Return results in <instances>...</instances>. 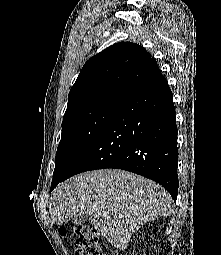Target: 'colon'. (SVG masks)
Instances as JSON below:
<instances>
[{
  "instance_id": "1",
  "label": "colon",
  "mask_w": 221,
  "mask_h": 255,
  "mask_svg": "<svg viewBox=\"0 0 221 255\" xmlns=\"http://www.w3.org/2000/svg\"><path fill=\"white\" fill-rule=\"evenodd\" d=\"M62 236L66 235V229L60 228ZM75 255H108L101 247L97 232L85 226H77L75 229Z\"/></svg>"
}]
</instances>
